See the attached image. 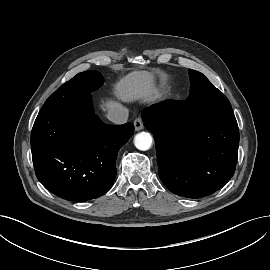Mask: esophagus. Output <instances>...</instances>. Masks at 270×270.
<instances>
[{
    "instance_id": "obj_1",
    "label": "esophagus",
    "mask_w": 270,
    "mask_h": 270,
    "mask_svg": "<svg viewBox=\"0 0 270 270\" xmlns=\"http://www.w3.org/2000/svg\"><path fill=\"white\" fill-rule=\"evenodd\" d=\"M134 128H135V131H140L143 129L144 125H143V121L141 118H136L134 120Z\"/></svg>"
}]
</instances>
